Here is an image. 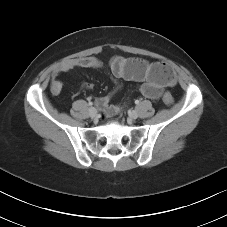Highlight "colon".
I'll return each mask as SVG.
<instances>
[{
	"label": "colon",
	"instance_id": "colon-1",
	"mask_svg": "<svg viewBox=\"0 0 227 227\" xmlns=\"http://www.w3.org/2000/svg\"><path fill=\"white\" fill-rule=\"evenodd\" d=\"M151 66L154 70H156L161 75L163 79L171 83L174 82L175 74L173 69L169 65L162 62H154V63H151ZM163 101L166 105H172L174 102V99L169 92H166L163 95Z\"/></svg>",
	"mask_w": 227,
	"mask_h": 227
}]
</instances>
